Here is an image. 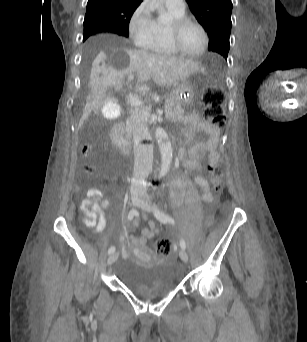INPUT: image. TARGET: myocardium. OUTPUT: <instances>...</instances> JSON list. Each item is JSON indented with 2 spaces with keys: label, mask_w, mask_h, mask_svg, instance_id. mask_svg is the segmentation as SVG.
Listing matches in <instances>:
<instances>
[{
  "label": "myocardium",
  "mask_w": 307,
  "mask_h": 342,
  "mask_svg": "<svg viewBox=\"0 0 307 342\" xmlns=\"http://www.w3.org/2000/svg\"><path fill=\"white\" fill-rule=\"evenodd\" d=\"M189 23L198 24L204 34V46L202 50L197 54H190L185 51L181 44V34L183 29ZM166 39L170 47L179 55L189 58V59H199L202 58L209 49L210 36L206 24L198 17L193 15H184L182 17L172 18L166 26Z\"/></svg>",
  "instance_id": "1"
}]
</instances>
